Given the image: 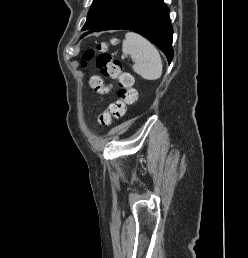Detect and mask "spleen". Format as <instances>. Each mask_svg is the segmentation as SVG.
Wrapping results in <instances>:
<instances>
[{
    "mask_svg": "<svg viewBox=\"0 0 248 258\" xmlns=\"http://www.w3.org/2000/svg\"><path fill=\"white\" fill-rule=\"evenodd\" d=\"M122 51L134 60L133 70L146 80H157L162 75V60L158 50L143 36L128 32Z\"/></svg>",
    "mask_w": 248,
    "mask_h": 258,
    "instance_id": "3e777b00",
    "label": "spleen"
}]
</instances>
